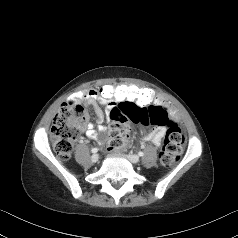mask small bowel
<instances>
[{
  "label": "small bowel",
  "instance_id": "obj_1",
  "mask_svg": "<svg viewBox=\"0 0 238 238\" xmlns=\"http://www.w3.org/2000/svg\"><path fill=\"white\" fill-rule=\"evenodd\" d=\"M122 85H125V84H122ZM68 101H70V102H85L88 104H94L95 105V114H96L98 123H102L105 117L107 118V120H111L110 116H109L110 111L114 107L119 106L120 104L123 103V102L122 103H109V102L103 101L98 96L97 90L78 92L72 98H70ZM154 104H159V103H154ZM102 107L106 108V112L103 111ZM171 109L173 111V114L170 117L169 121H175L178 118V112L175 108H171ZM153 126H154V128L144 135V139L147 141H150L154 145L158 146V145H160V143L164 137L166 124H163L161 126L154 124ZM81 127L83 129H85L87 136L100 141L99 135H98V130H97L95 124L89 122L88 116L86 114H84V116L81 120ZM99 130H101V131L104 130V127L102 125H100Z\"/></svg>",
  "mask_w": 238,
  "mask_h": 238
}]
</instances>
